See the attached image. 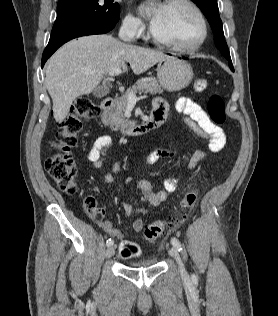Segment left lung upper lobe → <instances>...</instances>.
<instances>
[{"mask_svg":"<svg viewBox=\"0 0 278 316\" xmlns=\"http://www.w3.org/2000/svg\"><path fill=\"white\" fill-rule=\"evenodd\" d=\"M195 2L207 17L214 33L216 47L223 56L229 61V66L234 71L227 43L224 38L222 21L219 16L217 0H192Z\"/></svg>","mask_w":278,"mask_h":316,"instance_id":"obj_1","label":"left lung upper lobe"}]
</instances>
